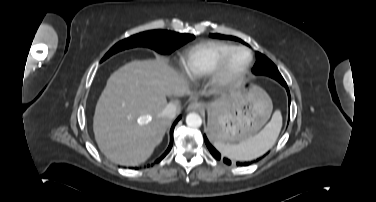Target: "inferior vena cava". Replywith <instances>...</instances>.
Instances as JSON below:
<instances>
[{
	"label": "inferior vena cava",
	"mask_w": 376,
	"mask_h": 202,
	"mask_svg": "<svg viewBox=\"0 0 376 202\" xmlns=\"http://www.w3.org/2000/svg\"><path fill=\"white\" fill-rule=\"evenodd\" d=\"M177 107L173 103H169L161 112L162 117L173 119L176 115Z\"/></svg>",
	"instance_id": "602c4592"
}]
</instances>
